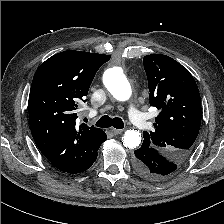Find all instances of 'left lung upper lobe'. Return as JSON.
<instances>
[{
	"label": "left lung upper lobe",
	"instance_id": "obj_1",
	"mask_svg": "<svg viewBox=\"0 0 224 224\" xmlns=\"http://www.w3.org/2000/svg\"><path fill=\"white\" fill-rule=\"evenodd\" d=\"M148 78L150 105L160 113L154 131L143 132V144L157 149L181 167L193 149L201 124V99L190 72L169 56L147 55L143 58ZM173 173L160 176L169 179Z\"/></svg>",
	"mask_w": 224,
	"mask_h": 224
}]
</instances>
